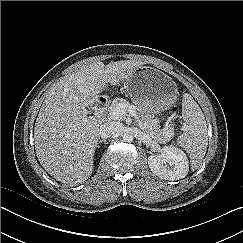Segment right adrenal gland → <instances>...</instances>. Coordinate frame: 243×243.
<instances>
[{
	"mask_svg": "<svg viewBox=\"0 0 243 243\" xmlns=\"http://www.w3.org/2000/svg\"><path fill=\"white\" fill-rule=\"evenodd\" d=\"M103 142L106 143V139L99 140L98 144L103 143ZM98 147H99V145H98Z\"/></svg>",
	"mask_w": 243,
	"mask_h": 243,
	"instance_id": "2a0ac1e0",
	"label": "right adrenal gland"
}]
</instances>
